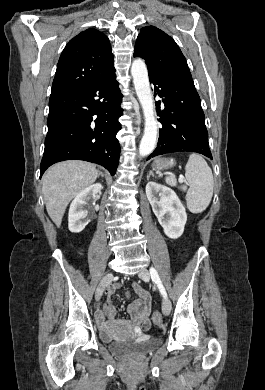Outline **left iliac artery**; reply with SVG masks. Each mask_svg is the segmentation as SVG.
Listing matches in <instances>:
<instances>
[{
    "label": "left iliac artery",
    "instance_id": "44dca946",
    "mask_svg": "<svg viewBox=\"0 0 265 390\" xmlns=\"http://www.w3.org/2000/svg\"><path fill=\"white\" fill-rule=\"evenodd\" d=\"M150 275H151L152 280L157 284L161 294L164 297H167L166 290H165V288H164V286H163V284H162V282H161V280L159 278V275H158V273H157L155 268H153V267L150 268Z\"/></svg>",
    "mask_w": 265,
    "mask_h": 390
}]
</instances>
